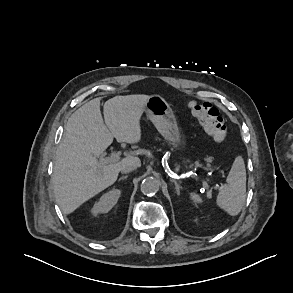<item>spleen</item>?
Instances as JSON below:
<instances>
[{
  "label": "spleen",
  "instance_id": "3e777b00",
  "mask_svg": "<svg viewBox=\"0 0 293 293\" xmlns=\"http://www.w3.org/2000/svg\"><path fill=\"white\" fill-rule=\"evenodd\" d=\"M246 198V170L241 156L235 158L226 183L221 185L216 204L231 216L240 213ZM194 203H202V198L196 193H190Z\"/></svg>",
  "mask_w": 293,
  "mask_h": 293
}]
</instances>
